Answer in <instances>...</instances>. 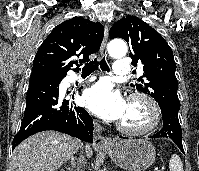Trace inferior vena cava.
<instances>
[{
  "label": "inferior vena cava",
  "mask_w": 199,
  "mask_h": 171,
  "mask_svg": "<svg viewBox=\"0 0 199 171\" xmlns=\"http://www.w3.org/2000/svg\"><path fill=\"white\" fill-rule=\"evenodd\" d=\"M79 163H80L81 165L84 164L83 159H80V160H79ZM78 171H80V170L78 169Z\"/></svg>",
  "instance_id": "602c4592"
}]
</instances>
